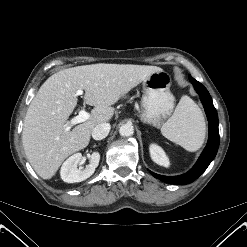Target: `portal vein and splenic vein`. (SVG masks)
<instances>
[{
  "label": "portal vein and splenic vein",
  "mask_w": 247,
  "mask_h": 247,
  "mask_svg": "<svg viewBox=\"0 0 247 247\" xmlns=\"http://www.w3.org/2000/svg\"><path fill=\"white\" fill-rule=\"evenodd\" d=\"M82 94H83L82 90H77V95H82ZM89 118H90V114L86 112L84 109H81L77 116L73 117L70 121H67L65 130L69 131L72 126L85 122Z\"/></svg>",
  "instance_id": "1"
}]
</instances>
